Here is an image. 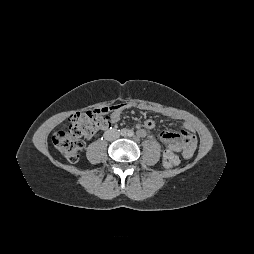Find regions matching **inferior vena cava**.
<instances>
[{
  "instance_id": "602c4592",
  "label": "inferior vena cava",
  "mask_w": 254,
  "mask_h": 254,
  "mask_svg": "<svg viewBox=\"0 0 254 254\" xmlns=\"http://www.w3.org/2000/svg\"><path fill=\"white\" fill-rule=\"evenodd\" d=\"M120 136L119 132L116 130V129H112V130H107L105 133H104V137L106 140L108 141H113V140H116L118 139Z\"/></svg>"
}]
</instances>
